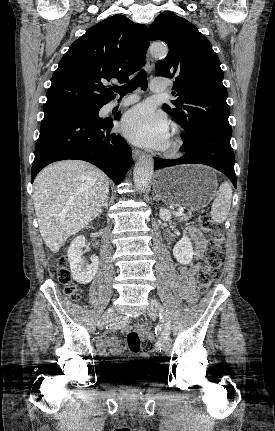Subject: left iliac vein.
Masks as SVG:
<instances>
[{"instance_id": "left-iliac-vein-1", "label": "left iliac vein", "mask_w": 275, "mask_h": 431, "mask_svg": "<svg viewBox=\"0 0 275 431\" xmlns=\"http://www.w3.org/2000/svg\"><path fill=\"white\" fill-rule=\"evenodd\" d=\"M147 313L152 319H156L159 316L160 308H159L158 302L155 299H149V306L147 309ZM170 347H171V340L168 337L165 339L162 349L163 351L167 352L170 350Z\"/></svg>"}]
</instances>
